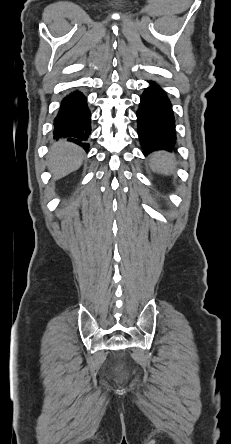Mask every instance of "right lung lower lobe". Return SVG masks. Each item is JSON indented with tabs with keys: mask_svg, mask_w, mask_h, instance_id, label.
Segmentation results:
<instances>
[{
	"mask_svg": "<svg viewBox=\"0 0 231 444\" xmlns=\"http://www.w3.org/2000/svg\"><path fill=\"white\" fill-rule=\"evenodd\" d=\"M90 111L81 92L74 91L62 100L54 119V138H67L85 149L90 134Z\"/></svg>",
	"mask_w": 231,
	"mask_h": 444,
	"instance_id": "right-lung-lower-lobe-1",
	"label": "right lung lower lobe"
}]
</instances>
